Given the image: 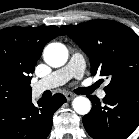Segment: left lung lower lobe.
Returning <instances> with one entry per match:
<instances>
[{
	"mask_svg": "<svg viewBox=\"0 0 139 139\" xmlns=\"http://www.w3.org/2000/svg\"><path fill=\"white\" fill-rule=\"evenodd\" d=\"M88 97L92 109L83 117V125L92 138L126 139L139 125V85L106 94L103 102Z\"/></svg>",
	"mask_w": 139,
	"mask_h": 139,
	"instance_id": "0a47b994",
	"label": "left lung lower lobe"
}]
</instances>
